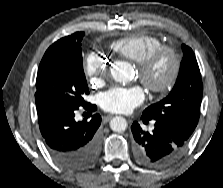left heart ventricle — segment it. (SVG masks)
<instances>
[{"instance_id": "left-heart-ventricle-1", "label": "left heart ventricle", "mask_w": 223, "mask_h": 188, "mask_svg": "<svg viewBox=\"0 0 223 188\" xmlns=\"http://www.w3.org/2000/svg\"><path fill=\"white\" fill-rule=\"evenodd\" d=\"M171 70V61L169 56L162 57L156 64L153 72L152 79L155 81H162L167 78Z\"/></svg>"}]
</instances>
